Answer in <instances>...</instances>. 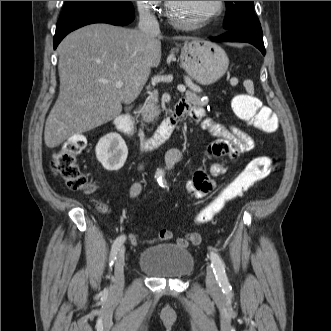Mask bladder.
<instances>
[{"label":"bladder","instance_id":"obj_1","mask_svg":"<svg viewBox=\"0 0 331 331\" xmlns=\"http://www.w3.org/2000/svg\"><path fill=\"white\" fill-rule=\"evenodd\" d=\"M138 267L154 278L180 279L194 269V257L186 247L163 243L146 247L137 261Z\"/></svg>","mask_w":331,"mask_h":331}]
</instances>
